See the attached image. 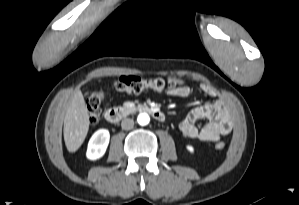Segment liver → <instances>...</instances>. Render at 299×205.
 Wrapping results in <instances>:
<instances>
[{
    "instance_id": "obj_1",
    "label": "liver",
    "mask_w": 299,
    "mask_h": 205,
    "mask_svg": "<svg viewBox=\"0 0 299 205\" xmlns=\"http://www.w3.org/2000/svg\"><path fill=\"white\" fill-rule=\"evenodd\" d=\"M89 130V115L83 94L77 90L64 117V141L69 152H75L84 142Z\"/></svg>"
}]
</instances>
